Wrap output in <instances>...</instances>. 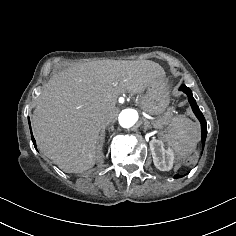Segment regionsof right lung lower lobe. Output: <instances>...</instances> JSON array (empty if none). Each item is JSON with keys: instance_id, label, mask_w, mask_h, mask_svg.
<instances>
[{"instance_id": "obj_1", "label": "right lung lower lobe", "mask_w": 236, "mask_h": 236, "mask_svg": "<svg viewBox=\"0 0 236 236\" xmlns=\"http://www.w3.org/2000/svg\"><path fill=\"white\" fill-rule=\"evenodd\" d=\"M28 121H29V125H30V119H28ZM30 128H31V126H30ZM31 134H32V132H31ZM31 138H32V141H33L34 146L36 148V142H35V139H34L33 135H31Z\"/></svg>"}]
</instances>
